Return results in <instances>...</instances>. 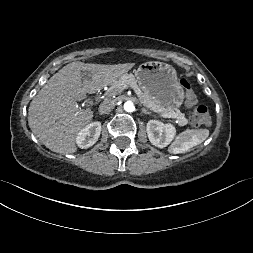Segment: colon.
Returning a JSON list of instances; mask_svg holds the SVG:
<instances>
[{"label":"colon","mask_w":253,"mask_h":253,"mask_svg":"<svg viewBox=\"0 0 253 253\" xmlns=\"http://www.w3.org/2000/svg\"><path fill=\"white\" fill-rule=\"evenodd\" d=\"M180 86L184 91L187 102L191 105H195L197 103V96L191 88L189 81L181 79ZM190 121L195 126L208 125L211 122V116L208 108L204 105L196 106L192 112Z\"/></svg>","instance_id":"5ec220e1"}]
</instances>
